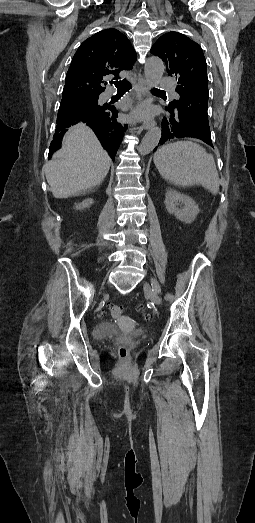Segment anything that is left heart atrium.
Here are the masks:
<instances>
[{"label": "left heart atrium", "mask_w": 255, "mask_h": 523, "mask_svg": "<svg viewBox=\"0 0 255 523\" xmlns=\"http://www.w3.org/2000/svg\"><path fill=\"white\" fill-rule=\"evenodd\" d=\"M152 114V108L149 105H144L139 109V115L142 117H149Z\"/></svg>", "instance_id": "39dd6f15"}]
</instances>
